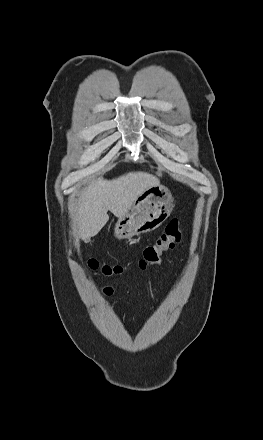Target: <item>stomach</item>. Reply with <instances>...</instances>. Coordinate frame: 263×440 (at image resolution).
Instances as JSON below:
<instances>
[{
	"instance_id": "1",
	"label": "stomach",
	"mask_w": 263,
	"mask_h": 440,
	"mask_svg": "<svg viewBox=\"0 0 263 440\" xmlns=\"http://www.w3.org/2000/svg\"><path fill=\"white\" fill-rule=\"evenodd\" d=\"M174 207L171 191L160 184L150 186L132 203L126 215L119 218L114 234L118 238L154 231L170 216Z\"/></svg>"
}]
</instances>
